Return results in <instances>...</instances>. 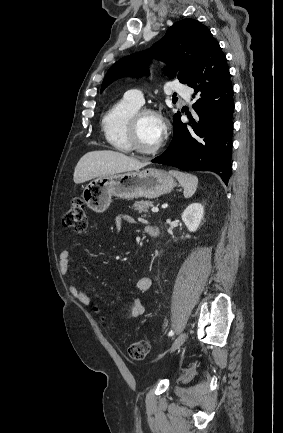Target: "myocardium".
Returning <instances> with one entry per match:
<instances>
[{"mask_svg": "<svg viewBox=\"0 0 283 433\" xmlns=\"http://www.w3.org/2000/svg\"><path fill=\"white\" fill-rule=\"evenodd\" d=\"M147 114L156 115L163 122V133H162L161 139L158 143V148L154 151H147V150L143 149L141 146V143L139 141V138H138V129H139L140 121L143 118V116H145ZM127 132H128V141L130 144V148L132 151H134L138 155L143 156V157H146V156L155 157V156H158L164 152V150H165L164 136L166 133V122H165L164 117L155 109L149 108V107H144V108H140L137 111H135L132 114V116L130 117Z\"/></svg>", "mask_w": 283, "mask_h": 433, "instance_id": "f54148a6", "label": "myocardium"}]
</instances>
